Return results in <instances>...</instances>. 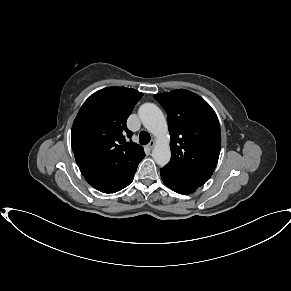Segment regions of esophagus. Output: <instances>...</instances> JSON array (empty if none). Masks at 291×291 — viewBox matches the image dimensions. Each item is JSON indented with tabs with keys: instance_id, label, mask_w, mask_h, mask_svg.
Wrapping results in <instances>:
<instances>
[{
	"instance_id": "obj_1",
	"label": "esophagus",
	"mask_w": 291,
	"mask_h": 291,
	"mask_svg": "<svg viewBox=\"0 0 291 291\" xmlns=\"http://www.w3.org/2000/svg\"><path fill=\"white\" fill-rule=\"evenodd\" d=\"M154 146H155V141H154V140H152V141L147 145V147H148L149 149H152Z\"/></svg>"
}]
</instances>
